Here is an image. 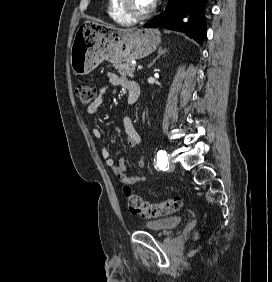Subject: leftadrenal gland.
Segmentation results:
<instances>
[{
	"label": "left adrenal gland",
	"mask_w": 272,
	"mask_h": 282,
	"mask_svg": "<svg viewBox=\"0 0 272 282\" xmlns=\"http://www.w3.org/2000/svg\"><path fill=\"white\" fill-rule=\"evenodd\" d=\"M167 52V49H163L162 47H159L157 51V57L153 59V61L148 65V67H151L157 59H159L162 55H164Z\"/></svg>",
	"instance_id": "a2214340"
}]
</instances>
